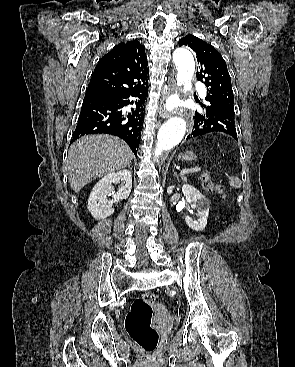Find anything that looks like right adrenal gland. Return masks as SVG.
I'll list each match as a JSON object with an SVG mask.
<instances>
[{
	"label": "right adrenal gland",
	"mask_w": 295,
	"mask_h": 367,
	"mask_svg": "<svg viewBox=\"0 0 295 367\" xmlns=\"http://www.w3.org/2000/svg\"><path fill=\"white\" fill-rule=\"evenodd\" d=\"M128 167V169H131V166H130V164L127 166Z\"/></svg>",
	"instance_id": "obj_1"
}]
</instances>
